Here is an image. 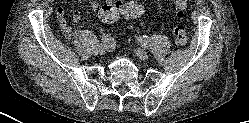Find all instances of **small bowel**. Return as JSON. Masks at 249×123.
Masks as SVG:
<instances>
[{
  "label": "small bowel",
  "instance_id": "1",
  "mask_svg": "<svg viewBox=\"0 0 249 123\" xmlns=\"http://www.w3.org/2000/svg\"><path fill=\"white\" fill-rule=\"evenodd\" d=\"M90 2V8L92 9V11L94 12H97L99 10V4L96 0H89ZM112 2H118V1H115V0H105V3H112ZM57 18L60 22V28L61 30L63 31V33L65 35H70L71 33V28L68 26V24L66 23V20H65V13L62 9H59L57 11ZM72 21L74 23H78L80 22L81 20V14L80 12L78 11H74L72 16Z\"/></svg>",
  "mask_w": 249,
  "mask_h": 123
}]
</instances>
